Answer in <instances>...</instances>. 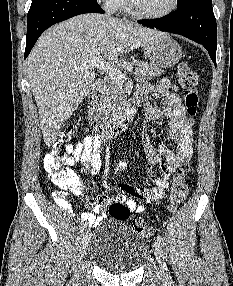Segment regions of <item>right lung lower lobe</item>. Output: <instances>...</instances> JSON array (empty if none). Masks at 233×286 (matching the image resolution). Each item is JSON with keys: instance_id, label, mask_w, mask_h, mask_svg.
<instances>
[{"instance_id": "right-lung-lower-lobe-1", "label": "right lung lower lobe", "mask_w": 233, "mask_h": 286, "mask_svg": "<svg viewBox=\"0 0 233 286\" xmlns=\"http://www.w3.org/2000/svg\"><path fill=\"white\" fill-rule=\"evenodd\" d=\"M83 13H104L97 0H35L27 17L25 55L39 36L51 25Z\"/></svg>"}]
</instances>
